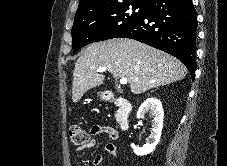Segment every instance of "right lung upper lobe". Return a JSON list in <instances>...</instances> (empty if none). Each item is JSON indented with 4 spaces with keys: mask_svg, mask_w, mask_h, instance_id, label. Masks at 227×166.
Here are the masks:
<instances>
[{
    "mask_svg": "<svg viewBox=\"0 0 227 166\" xmlns=\"http://www.w3.org/2000/svg\"><path fill=\"white\" fill-rule=\"evenodd\" d=\"M151 0H80L78 9L76 13H83L88 11H94L104 8H109L122 4H140L146 5Z\"/></svg>",
    "mask_w": 227,
    "mask_h": 166,
    "instance_id": "obj_1",
    "label": "right lung upper lobe"
}]
</instances>
